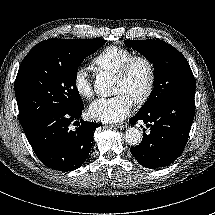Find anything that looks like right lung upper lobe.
<instances>
[{
    "mask_svg": "<svg viewBox=\"0 0 215 215\" xmlns=\"http://www.w3.org/2000/svg\"><path fill=\"white\" fill-rule=\"evenodd\" d=\"M44 41L40 42L39 44H37L35 47H33L34 49L39 47Z\"/></svg>",
    "mask_w": 215,
    "mask_h": 215,
    "instance_id": "right-lung-upper-lobe-1",
    "label": "right lung upper lobe"
}]
</instances>
